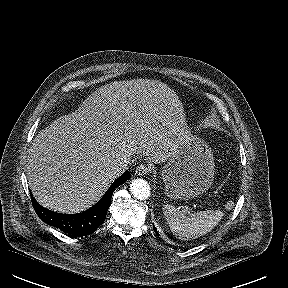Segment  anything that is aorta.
<instances>
[{
	"label": "aorta",
	"mask_w": 288,
	"mask_h": 288,
	"mask_svg": "<svg viewBox=\"0 0 288 288\" xmlns=\"http://www.w3.org/2000/svg\"><path fill=\"white\" fill-rule=\"evenodd\" d=\"M130 191L134 198L145 200L150 196V186L144 179L136 178L130 183Z\"/></svg>",
	"instance_id": "aorta-1"
}]
</instances>
